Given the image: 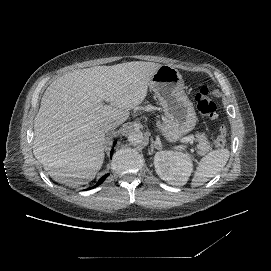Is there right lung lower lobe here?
<instances>
[{
    "label": "right lung lower lobe",
    "instance_id": "1",
    "mask_svg": "<svg viewBox=\"0 0 271 271\" xmlns=\"http://www.w3.org/2000/svg\"><path fill=\"white\" fill-rule=\"evenodd\" d=\"M116 144V141L114 142V145ZM112 153H113V149L111 150V157H112ZM109 174H106V175H104L98 182H97V184L94 186V187H90V188H88V189H92V188H95V187H97L98 185H100L105 179H106V177L108 176Z\"/></svg>",
    "mask_w": 271,
    "mask_h": 271
}]
</instances>
